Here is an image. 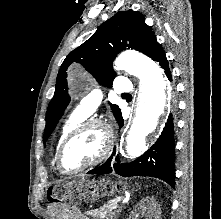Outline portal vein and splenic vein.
<instances>
[{"instance_id":"obj_1","label":"portal vein and splenic vein","mask_w":221,"mask_h":219,"mask_svg":"<svg viewBox=\"0 0 221 219\" xmlns=\"http://www.w3.org/2000/svg\"><path fill=\"white\" fill-rule=\"evenodd\" d=\"M118 207V205L117 204H115L114 206H113V209H116Z\"/></svg>"}]
</instances>
